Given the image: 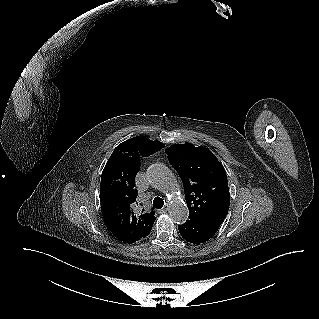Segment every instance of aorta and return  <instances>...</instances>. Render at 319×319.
Here are the masks:
<instances>
[{"label": "aorta", "instance_id": "aorta-1", "mask_svg": "<svg viewBox=\"0 0 319 319\" xmlns=\"http://www.w3.org/2000/svg\"><path fill=\"white\" fill-rule=\"evenodd\" d=\"M150 183L168 195L169 216L173 222L183 224L188 219V208L180 198V189L172 172L163 164L156 163L147 170Z\"/></svg>", "mask_w": 319, "mask_h": 319}]
</instances>
